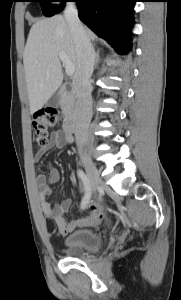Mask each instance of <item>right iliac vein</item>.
<instances>
[{
	"mask_svg": "<svg viewBox=\"0 0 181 300\" xmlns=\"http://www.w3.org/2000/svg\"><path fill=\"white\" fill-rule=\"evenodd\" d=\"M81 161L86 169L89 182L91 184V190L96 192L98 186L101 184V178L95 164L90 160L86 154L81 155Z\"/></svg>",
	"mask_w": 181,
	"mask_h": 300,
	"instance_id": "right-iliac-vein-1",
	"label": "right iliac vein"
}]
</instances>
